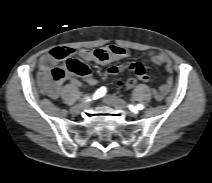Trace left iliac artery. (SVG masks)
Returning a JSON list of instances; mask_svg holds the SVG:
<instances>
[{"instance_id": "left-iliac-artery-1", "label": "left iliac artery", "mask_w": 212, "mask_h": 183, "mask_svg": "<svg viewBox=\"0 0 212 183\" xmlns=\"http://www.w3.org/2000/svg\"><path fill=\"white\" fill-rule=\"evenodd\" d=\"M129 108L132 112H136L137 110L144 109V105H142V104H138L136 106L130 105Z\"/></svg>"}]
</instances>
